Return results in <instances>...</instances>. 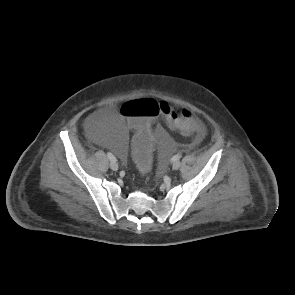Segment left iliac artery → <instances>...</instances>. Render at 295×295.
<instances>
[{"label": "left iliac artery", "mask_w": 295, "mask_h": 295, "mask_svg": "<svg viewBox=\"0 0 295 295\" xmlns=\"http://www.w3.org/2000/svg\"><path fill=\"white\" fill-rule=\"evenodd\" d=\"M181 157H182L181 154H176L175 156L172 157L171 161H172V162H176V161H178Z\"/></svg>", "instance_id": "44dca946"}]
</instances>
